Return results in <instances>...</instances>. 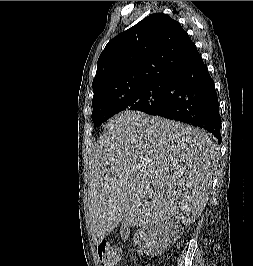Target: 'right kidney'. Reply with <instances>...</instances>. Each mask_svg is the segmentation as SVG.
<instances>
[{"label":"right kidney","mask_w":253,"mask_h":266,"mask_svg":"<svg viewBox=\"0 0 253 266\" xmlns=\"http://www.w3.org/2000/svg\"><path fill=\"white\" fill-rule=\"evenodd\" d=\"M179 224L165 221L143 226L133 235V241L138 252L144 256L161 255L170 245L176 242L182 234Z\"/></svg>","instance_id":"obj_1"}]
</instances>
